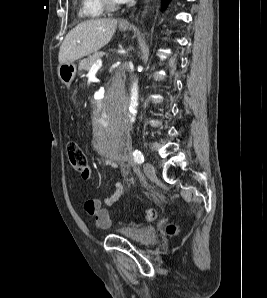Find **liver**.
Returning a JSON list of instances; mask_svg holds the SVG:
<instances>
[{"instance_id": "obj_1", "label": "liver", "mask_w": 267, "mask_h": 298, "mask_svg": "<svg viewBox=\"0 0 267 298\" xmlns=\"http://www.w3.org/2000/svg\"><path fill=\"white\" fill-rule=\"evenodd\" d=\"M116 19H91L78 24L66 35L59 50L60 64L70 63L96 52L111 40Z\"/></svg>"}]
</instances>
